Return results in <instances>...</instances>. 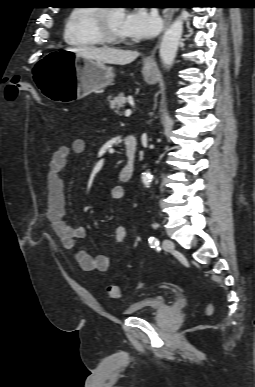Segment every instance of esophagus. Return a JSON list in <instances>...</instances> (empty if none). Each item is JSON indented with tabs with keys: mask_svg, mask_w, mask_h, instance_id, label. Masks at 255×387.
<instances>
[{
	"mask_svg": "<svg viewBox=\"0 0 255 387\" xmlns=\"http://www.w3.org/2000/svg\"><path fill=\"white\" fill-rule=\"evenodd\" d=\"M174 12L175 10L173 8H168L164 10V30L167 29V27L171 23ZM156 49L157 45L152 50L151 54L145 58L144 62L146 64H151L153 62Z\"/></svg>",
	"mask_w": 255,
	"mask_h": 387,
	"instance_id": "obj_1",
	"label": "esophagus"
}]
</instances>
